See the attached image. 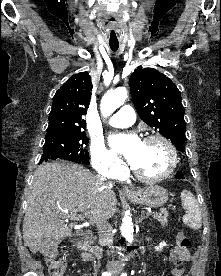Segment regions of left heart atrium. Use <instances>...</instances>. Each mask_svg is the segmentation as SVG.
Masks as SVG:
<instances>
[{"label":"left heart atrium","instance_id":"obj_1","mask_svg":"<svg viewBox=\"0 0 221 276\" xmlns=\"http://www.w3.org/2000/svg\"><path fill=\"white\" fill-rule=\"evenodd\" d=\"M116 151L124 154L126 159L131 163L135 164L139 158L142 142L135 136L121 137L117 136L112 138L111 141Z\"/></svg>","mask_w":221,"mask_h":276}]
</instances>
